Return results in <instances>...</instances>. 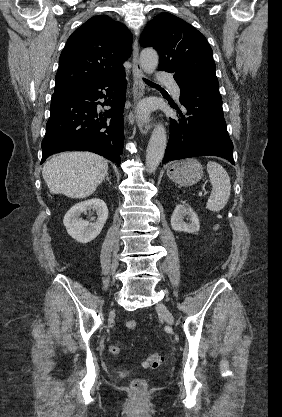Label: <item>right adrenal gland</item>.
Listing matches in <instances>:
<instances>
[{
  "instance_id": "1",
  "label": "right adrenal gland",
  "mask_w": 282,
  "mask_h": 417,
  "mask_svg": "<svg viewBox=\"0 0 282 417\" xmlns=\"http://www.w3.org/2000/svg\"><path fill=\"white\" fill-rule=\"evenodd\" d=\"M106 180H109V184H112V182H111V180H110L109 176H106Z\"/></svg>"
}]
</instances>
